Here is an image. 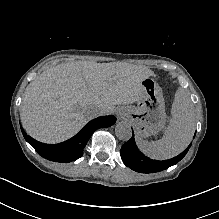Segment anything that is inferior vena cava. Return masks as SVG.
Here are the masks:
<instances>
[{
  "instance_id": "602c4592",
  "label": "inferior vena cava",
  "mask_w": 219,
  "mask_h": 219,
  "mask_svg": "<svg viewBox=\"0 0 219 219\" xmlns=\"http://www.w3.org/2000/svg\"><path fill=\"white\" fill-rule=\"evenodd\" d=\"M92 114L95 117H102L105 114V107L102 104H95L93 107H90Z\"/></svg>"
}]
</instances>
